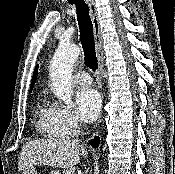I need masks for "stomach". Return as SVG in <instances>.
I'll return each instance as SVG.
<instances>
[{
	"label": "stomach",
	"mask_w": 175,
	"mask_h": 174,
	"mask_svg": "<svg viewBox=\"0 0 175 174\" xmlns=\"http://www.w3.org/2000/svg\"><path fill=\"white\" fill-rule=\"evenodd\" d=\"M22 174H37L36 169L34 166L27 167L23 170ZM52 174H61L58 170L52 171Z\"/></svg>",
	"instance_id": "stomach-1"
}]
</instances>
